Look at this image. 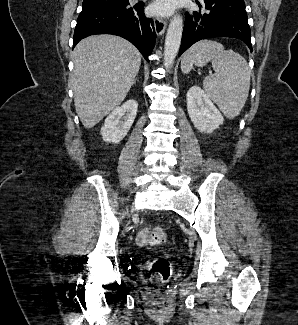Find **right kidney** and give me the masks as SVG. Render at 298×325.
Here are the masks:
<instances>
[{
	"label": "right kidney",
	"mask_w": 298,
	"mask_h": 325,
	"mask_svg": "<svg viewBox=\"0 0 298 325\" xmlns=\"http://www.w3.org/2000/svg\"><path fill=\"white\" fill-rule=\"evenodd\" d=\"M137 108L138 102L134 98H129L121 106L114 108L101 126L100 134L103 140L105 142H120L131 128Z\"/></svg>",
	"instance_id": "obj_1"
}]
</instances>
